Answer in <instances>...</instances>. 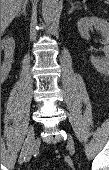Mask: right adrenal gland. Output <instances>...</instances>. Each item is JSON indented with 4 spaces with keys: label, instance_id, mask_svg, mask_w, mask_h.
<instances>
[{
    "label": "right adrenal gland",
    "instance_id": "1",
    "mask_svg": "<svg viewBox=\"0 0 109 170\" xmlns=\"http://www.w3.org/2000/svg\"><path fill=\"white\" fill-rule=\"evenodd\" d=\"M26 6H27V0H25L22 4L21 10L20 12L17 14V17H19L20 15H25L26 16Z\"/></svg>",
    "mask_w": 109,
    "mask_h": 170
}]
</instances>
